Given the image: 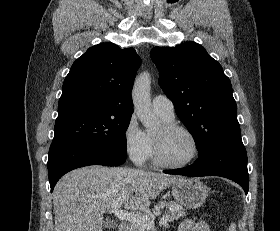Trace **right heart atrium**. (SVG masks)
Instances as JSON below:
<instances>
[{
	"mask_svg": "<svg viewBox=\"0 0 280 231\" xmlns=\"http://www.w3.org/2000/svg\"><path fill=\"white\" fill-rule=\"evenodd\" d=\"M122 142L125 153L137 164L144 163L150 153V142L142 131L135 117L131 116L123 129Z\"/></svg>",
	"mask_w": 280,
	"mask_h": 231,
	"instance_id": "obj_1",
	"label": "right heart atrium"
}]
</instances>
